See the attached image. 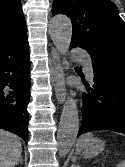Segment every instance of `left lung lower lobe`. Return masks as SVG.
Returning <instances> with one entry per match:
<instances>
[{"label": "left lung lower lobe", "mask_w": 125, "mask_h": 167, "mask_svg": "<svg viewBox=\"0 0 125 167\" xmlns=\"http://www.w3.org/2000/svg\"><path fill=\"white\" fill-rule=\"evenodd\" d=\"M92 64L94 85H85L78 136L98 130L125 134V68L109 61Z\"/></svg>", "instance_id": "0a47b994"}]
</instances>
